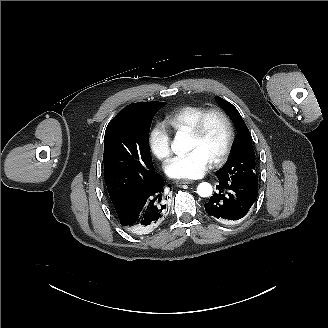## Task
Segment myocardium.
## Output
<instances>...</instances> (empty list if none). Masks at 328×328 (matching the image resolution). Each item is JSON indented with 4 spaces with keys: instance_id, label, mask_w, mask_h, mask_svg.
Listing matches in <instances>:
<instances>
[{
    "instance_id": "obj_1",
    "label": "myocardium",
    "mask_w": 328,
    "mask_h": 328,
    "mask_svg": "<svg viewBox=\"0 0 328 328\" xmlns=\"http://www.w3.org/2000/svg\"><path fill=\"white\" fill-rule=\"evenodd\" d=\"M213 116H218V117L222 118L225 121V123L227 124L228 131H229L227 144H226L224 150L215 160L212 161L213 165L218 166V165L225 163L229 159V157L233 151L234 145H235L236 129H235V125H234V122H233L231 116L226 111H224L223 109H220V108L207 109L197 119L195 124L188 131V133L192 137H195V138L200 137L206 127L208 120Z\"/></svg>"
}]
</instances>
